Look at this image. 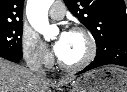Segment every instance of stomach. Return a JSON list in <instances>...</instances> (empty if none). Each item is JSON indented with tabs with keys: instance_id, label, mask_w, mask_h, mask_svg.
I'll use <instances>...</instances> for the list:
<instances>
[{
	"instance_id": "stomach-1",
	"label": "stomach",
	"mask_w": 127,
	"mask_h": 92,
	"mask_svg": "<svg viewBox=\"0 0 127 92\" xmlns=\"http://www.w3.org/2000/svg\"><path fill=\"white\" fill-rule=\"evenodd\" d=\"M70 92H127V71L113 66L90 71L73 82Z\"/></svg>"
}]
</instances>
